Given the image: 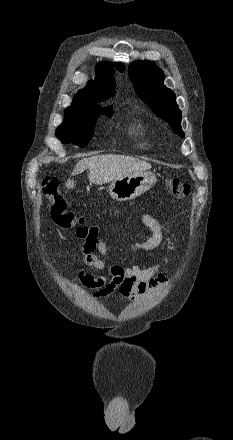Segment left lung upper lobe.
I'll use <instances>...</instances> for the list:
<instances>
[{
    "mask_svg": "<svg viewBox=\"0 0 233 440\" xmlns=\"http://www.w3.org/2000/svg\"><path fill=\"white\" fill-rule=\"evenodd\" d=\"M128 73L137 95L157 116L168 121L175 133L184 137L181 111L176 104L174 92L163 85V71L153 62L140 60L130 64Z\"/></svg>",
    "mask_w": 233,
    "mask_h": 440,
    "instance_id": "5c2ea615",
    "label": "left lung upper lobe"
}]
</instances>
